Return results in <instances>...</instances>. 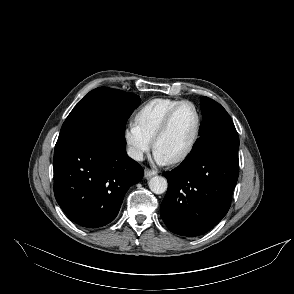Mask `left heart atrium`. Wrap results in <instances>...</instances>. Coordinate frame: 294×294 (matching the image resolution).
Returning a JSON list of instances; mask_svg holds the SVG:
<instances>
[{"mask_svg":"<svg viewBox=\"0 0 294 294\" xmlns=\"http://www.w3.org/2000/svg\"><path fill=\"white\" fill-rule=\"evenodd\" d=\"M153 158H154V161L157 163V164H160V165H164V164H167L169 163V159L163 155L159 150H157L155 148L154 150V153H153Z\"/></svg>","mask_w":294,"mask_h":294,"instance_id":"39dd6f15","label":"left heart atrium"}]
</instances>
